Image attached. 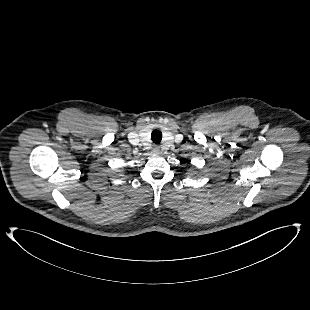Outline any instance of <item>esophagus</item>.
<instances>
[{"mask_svg":"<svg viewBox=\"0 0 310 310\" xmlns=\"http://www.w3.org/2000/svg\"><path fill=\"white\" fill-rule=\"evenodd\" d=\"M159 151H160L159 146H156V145H155V146L153 147V152H154V153H159Z\"/></svg>","mask_w":310,"mask_h":310,"instance_id":"34e87169","label":"esophagus"}]
</instances>
